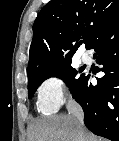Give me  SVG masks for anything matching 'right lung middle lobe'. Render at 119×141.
Instances as JSON below:
<instances>
[{
  "mask_svg": "<svg viewBox=\"0 0 119 141\" xmlns=\"http://www.w3.org/2000/svg\"><path fill=\"white\" fill-rule=\"evenodd\" d=\"M81 71V69L79 71L74 69L71 66V62H69L68 64L57 68L42 70L30 74L28 75V97L31 98L40 84L50 77H58L62 79L67 86H69L72 93L82 77V74L80 76L78 75Z\"/></svg>",
  "mask_w": 119,
  "mask_h": 141,
  "instance_id": "obj_1",
  "label": "right lung middle lobe"
}]
</instances>
